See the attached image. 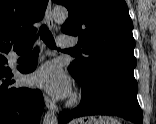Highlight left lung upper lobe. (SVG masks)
Segmentation results:
<instances>
[{"label":"left lung upper lobe","mask_w":156,"mask_h":124,"mask_svg":"<svg viewBox=\"0 0 156 124\" xmlns=\"http://www.w3.org/2000/svg\"><path fill=\"white\" fill-rule=\"evenodd\" d=\"M53 1L69 12L62 32L78 36L79 54L68 70L80 86L105 74L135 81L133 23L124 0Z\"/></svg>","instance_id":"left-lung-upper-lobe-1"}]
</instances>
